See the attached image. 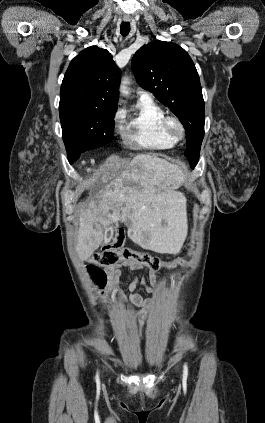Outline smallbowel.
I'll return each mask as SVG.
<instances>
[{"mask_svg": "<svg viewBox=\"0 0 265 423\" xmlns=\"http://www.w3.org/2000/svg\"><path fill=\"white\" fill-rule=\"evenodd\" d=\"M129 269L132 272L143 269L144 266L136 264L132 261H119L114 265L105 267L106 277L108 278V290L111 294L119 301L123 302L125 296L119 288L118 278L123 269ZM150 283L147 284L144 279L140 280L141 285L144 287L146 292L150 294H156L160 291L157 275L155 272L150 271L148 274ZM138 278L132 276L131 281L128 285V298L129 300L139 306H142L140 311H133L132 315L137 318V324L142 326L147 318L148 314L158 306L156 298H143L141 295L136 293V287L138 284Z\"/></svg>", "mask_w": 265, "mask_h": 423, "instance_id": "1", "label": "small bowel"}]
</instances>
